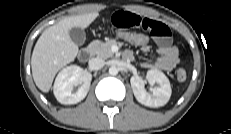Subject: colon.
<instances>
[{"instance_id":"colon-1","label":"colon","mask_w":231,"mask_h":134,"mask_svg":"<svg viewBox=\"0 0 231 134\" xmlns=\"http://www.w3.org/2000/svg\"><path fill=\"white\" fill-rule=\"evenodd\" d=\"M112 33L119 40L133 46H138L140 48L148 46L150 42V36L141 32L114 29L112 30ZM176 77L178 81H185L187 73L183 68H179L176 70Z\"/></svg>"}]
</instances>
